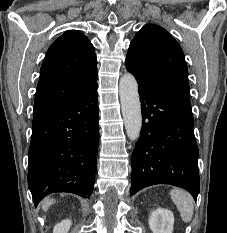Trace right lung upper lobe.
Segmentation results:
<instances>
[{"instance_id":"cb5924a9","label":"right lung upper lobe","mask_w":227,"mask_h":233,"mask_svg":"<svg viewBox=\"0 0 227 233\" xmlns=\"http://www.w3.org/2000/svg\"><path fill=\"white\" fill-rule=\"evenodd\" d=\"M97 84V59L88 38L69 30L50 46L40 70L33 117H38Z\"/></svg>"}]
</instances>
